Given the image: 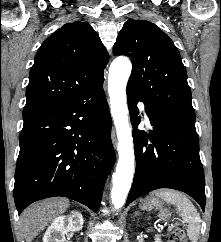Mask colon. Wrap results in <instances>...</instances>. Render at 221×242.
Masks as SVG:
<instances>
[{
  "mask_svg": "<svg viewBox=\"0 0 221 242\" xmlns=\"http://www.w3.org/2000/svg\"><path fill=\"white\" fill-rule=\"evenodd\" d=\"M169 242H188L185 231L181 228L174 229L170 234Z\"/></svg>",
  "mask_w": 221,
  "mask_h": 242,
  "instance_id": "obj_1",
  "label": "colon"
}]
</instances>
